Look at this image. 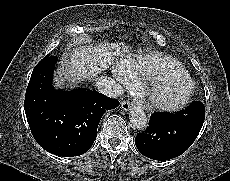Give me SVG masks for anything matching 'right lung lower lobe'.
Wrapping results in <instances>:
<instances>
[{
	"label": "right lung lower lobe",
	"mask_w": 230,
	"mask_h": 181,
	"mask_svg": "<svg viewBox=\"0 0 230 181\" xmlns=\"http://www.w3.org/2000/svg\"><path fill=\"white\" fill-rule=\"evenodd\" d=\"M57 56H47L34 68L24 109L32 135L46 151L64 157L88 151L106 110L119 105L102 93L79 88L70 93L52 87Z\"/></svg>",
	"instance_id": "obj_1"
}]
</instances>
